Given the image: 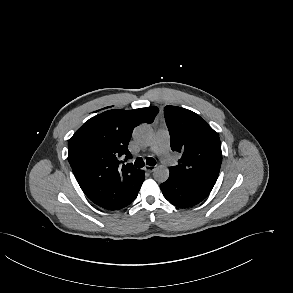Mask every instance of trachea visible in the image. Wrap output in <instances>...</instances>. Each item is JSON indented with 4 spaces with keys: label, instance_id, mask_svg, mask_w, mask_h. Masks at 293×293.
I'll use <instances>...</instances> for the list:
<instances>
[{
    "label": "trachea",
    "instance_id": "3493384b",
    "mask_svg": "<svg viewBox=\"0 0 293 293\" xmlns=\"http://www.w3.org/2000/svg\"><path fill=\"white\" fill-rule=\"evenodd\" d=\"M146 164L150 165V166H154L156 164V161H155V159L148 157L146 160ZM134 165L137 168H142L145 165V163H144L143 159L141 157H139L136 159Z\"/></svg>",
    "mask_w": 293,
    "mask_h": 293
}]
</instances>
